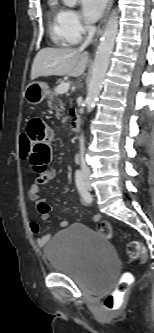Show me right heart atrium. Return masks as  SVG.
Returning <instances> with one entry per match:
<instances>
[{
    "label": "right heart atrium",
    "instance_id": "d8ad5b80",
    "mask_svg": "<svg viewBox=\"0 0 154 333\" xmlns=\"http://www.w3.org/2000/svg\"><path fill=\"white\" fill-rule=\"evenodd\" d=\"M63 24L67 38L72 43L79 42L90 31V27L83 22L80 14L73 9L64 10Z\"/></svg>",
    "mask_w": 154,
    "mask_h": 333
}]
</instances>
